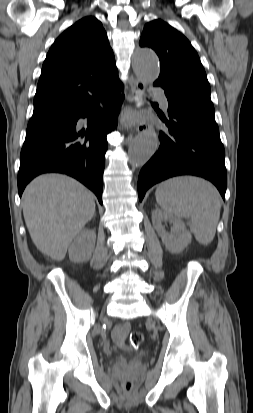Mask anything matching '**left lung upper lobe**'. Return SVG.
Listing matches in <instances>:
<instances>
[{
    "mask_svg": "<svg viewBox=\"0 0 253 413\" xmlns=\"http://www.w3.org/2000/svg\"><path fill=\"white\" fill-rule=\"evenodd\" d=\"M139 44L159 56L161 72L154 85L214 107L205 70L186 37L166 22L154 20L145 25Z\"/></svg>",
    "mask_w": 253,
    "mask_h": 413,
    "instance_id": "obj_1",
    "label": "left lung upper lobe"
}]
</instances>
